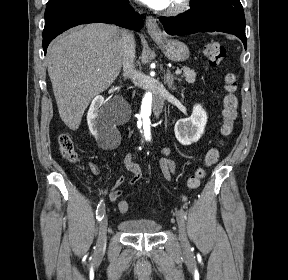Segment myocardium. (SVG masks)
Here are the masks:
<instances>
[{
  "label": "myocardium",
  "mask_w": 288,
  "mask_h": 280,
  "mask_svg": "<svg viewBox=\"0 0 288 280\" xmlns=\"http://www.w3.org/2000/svg\"><path fill=\"white\" fill-rule=\"evenodd\" d=\"M192 0H178L173 5H171L166 14L176 16L185 13L191 7Z\"/></svg>",
  "instance_id": "1"
}]
</instances>
